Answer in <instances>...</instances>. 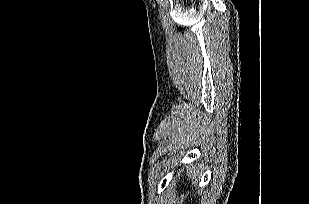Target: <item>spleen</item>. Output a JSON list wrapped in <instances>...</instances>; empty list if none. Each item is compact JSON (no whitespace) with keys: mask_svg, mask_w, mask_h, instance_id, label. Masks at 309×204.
Listing matches in <instances>:
<instances>
[{"mask_svg":"<svg viewBox=\"0 0 309 204\" xmlns=\"http://www.w3.org/2000/svg\"><path fill=\"white\" fill-rule=\"evenodd\" d=\"M188 177L192 180V185H195L201 177V173L197 170V168L193 165H190L189 167H187V171H186Z\"/></svg>","mask_w":309,"mask_h":204,"instance_id":"spleen-1","label":"spleen"}]
</instances>
